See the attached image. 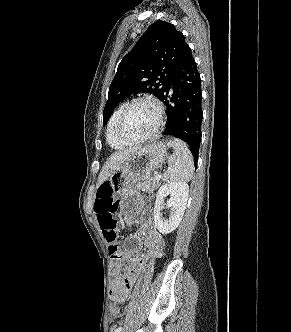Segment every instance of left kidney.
<instances>
[{"mask_svg": "<svg viewBox=\"0 0 291 332\" xmlns=\"http://www.w3.org/2000/svg\"><path fill=\"white\" fill-rule=\"evenodd\" d=\"M188 192L189 186L185 182H170L159 188L154 206V221L159 232L169 234L178 227L186 209ZM168 195L170 199L166 206L170 208L171 213L167 219L162 217L161 210L164 198Z\"/></svg>", "mask_w": 291, "mask_h": 332, "instance_id": "left-kidney-1", "label": "left kidney"}]
</instances>
